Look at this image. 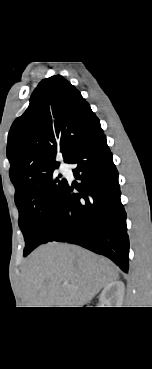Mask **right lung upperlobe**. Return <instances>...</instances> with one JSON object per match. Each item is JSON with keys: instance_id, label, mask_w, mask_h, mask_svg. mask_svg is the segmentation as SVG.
<instances>
[{"instance_id": "1", "label": "right lung upper lobe", "mask_w": 152, "mask_h": 369, "mask_svg": "<svg viewBox=\"0 0 152 369\" xmlns=\"http://www.w3.org/2000/svg\"><path fill=\"white\" fill-rule=\"evenodd\" d=\"M101 129L90 105L62 76L42 80L24 114L9 131V175L20 195L38 176L59 166L58 152L68 162L77 148Z\"/></svg>"}]
</instances>
